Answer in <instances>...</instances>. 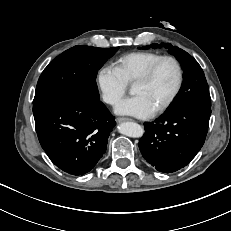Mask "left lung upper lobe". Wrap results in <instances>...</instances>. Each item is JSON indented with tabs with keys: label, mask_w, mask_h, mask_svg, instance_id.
I'll list each match as a JSON object with an SVG mask.
<instances>
[{
	"label": "left lung upper lobe",
	"mask_w": 231,
	"mask_h": 231,
	"mask_svg": "<svg viewBox=\"0 0 231 231\" xmlns=\"http://www.w3.org/2000/svg\"><path fill=\"white\" fill-rule=\"evenodd\" d=\"M150 47L154 49L160 47L168 48V51L180 62L184 71L182 88L168 109L184 105H199L211 108L209 87L198 62L184 50L169 43H162L161 45L152 44L151 46L143 47V49H149Z\"/></svg>",
	"instance_id": "5c2ea615"
}]
</instances>
